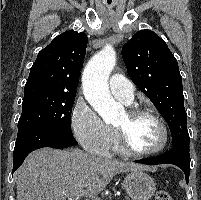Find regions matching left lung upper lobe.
<instances>
[{"instance_id": "5c2ea615", "label": "left lung upper lobe", "mask_w": 201, "mask_h": 200, "mask_svg": "<svg viewBox=\"0 0 201 200\" xmlns=\"http://www.w3.org/2000/svg\"><path fill=\"white\" fill-rule=\"evenodd\" d=\"M127 72L166 120L172 145L190 141L182 77L167 44L155 32L141 30L122 47Z\"/></svg>"}]
</instances>
